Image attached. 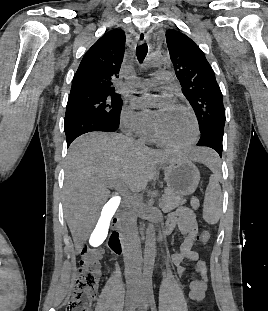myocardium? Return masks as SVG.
<instances>
[{"label": "myocardium", "instance_id": "obj_1", "mask_svg": "<svg viewBox=\"0 0 268 311\" xmlns=\"http://www.w3.org/2000/svg\"><path fill=\"white\" fill-rule=\"evenodd\" d=\"M177 108L184 111L189 116V118L191 119L192 126H193V133H192V136L190 137V139L187 140L186 142H183V143H175V142H171V141L165 139L159 131L157 120L154 124V135L160 143H162L168 147L175 148L178 150H186V149H189L190 147H192L198 140L199 123H198L196 115L194 114V112L189 107L179 104V105H177Z\"/></svg>", "mask_w": 268, "mask_h": 311}]
</instances>
